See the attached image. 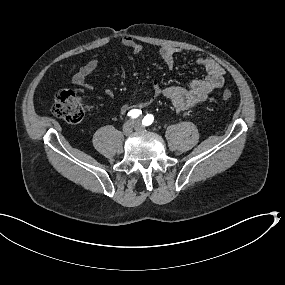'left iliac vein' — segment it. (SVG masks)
<instances>
[{"instance_id": "left-iliac-vein-1", "label": "left iliac vein", "mask_w": 285, "mask_h": 285, "mask_svg": "<svg viewBox=\"0 0 285 285\" xmlns=\"http://www.w3.org/2000/svg\"><path fill=\"white\" fill-rule=\"evenodd\" d=\"M134 122L138 124L136 130H140L141 129L140 128V119H136V120H134Z\"/></svg>"}]
</instances>
